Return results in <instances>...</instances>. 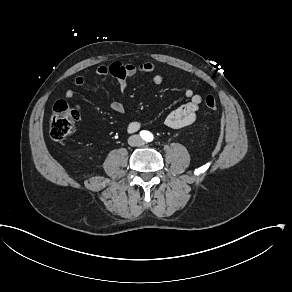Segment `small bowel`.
Here are the masks:
<instances>
[{
	"mask_svg": "<svg viewBox=\"0 0 292 292\" xmlns=\"http://www.w3.org/2000/svg\"><path fill=\"white\" fill-rule=\"evenodd\" d=\"M154 71L155 66L151 62H144L141 64L113 62L108 66H99L94 71V74L98 76L101 81L115 79L119 85L121 93H125L128 88V78L140 73L150 74ZM153 82L156 85H160L163 82L162 76L155 74L153 76ZM85 83L86 78L84 76L79 75L74 79V85L77 87H82L85 85ZM184 94L188 98V102L166 116L164 124L168 128L180 129L188 127L196 121L197 112L199 110L202 98L191 88H187L184 91ZM74 95L75 92L73 89H67L65 91V96L67 98H72ZM110 108L118 114H122L125 111L123 103L116 99L111 100ZM128 127L132 130L137 129L138 123L132 122Z\"/></svg>",
	"mask_w": 292,
	"mask_h": 292,
	"instance_id": "obj_1",
	"label": "small bowel"
}]
</instances>
